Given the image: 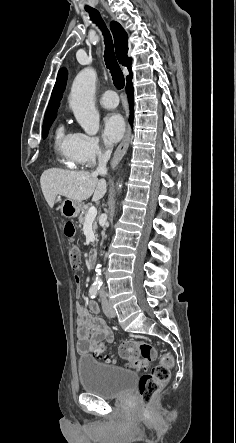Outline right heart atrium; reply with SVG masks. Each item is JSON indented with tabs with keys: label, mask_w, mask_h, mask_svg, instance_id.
Masks as SVG:
<instances>
[{
	"label": "right heart atrium",
	"mask_w": 236,
	"mask_h": 443,
	"mask_svg": "<svg viewBox=\"0 0 236 443\" xmlns=\"http://www.w3.org/2000/svg\"><path fill=\"white\" fill-rule=\"evenodd\" d=\"M74 148L80 163L87 167L93 166L103 152L101 141L97 137L85 133L75 134Z\"/></svg>",
	"instance_id": "obj_1"
}]
</instances>
